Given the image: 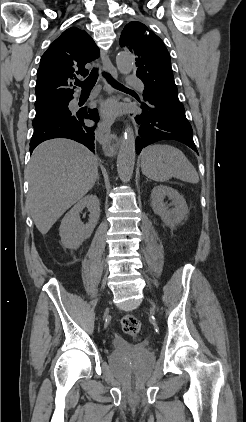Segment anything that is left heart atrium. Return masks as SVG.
<instances>
[{"mask_svg":"<svg viewBox=\"0 0 246 422\" xmlns=\"http://www.w3.org/2000/svg\"><path fill=\"white\" fill-rule=\"evenodd\" d=\"M117 109L116 106L112 103H107L104 105L103 107V112L107 115V116H112L116 113Z\"/></svg>","mask_w":246,"mask_h":422,"instance_id":"39dd6f15","label":"left heart atrium"}]
</instances>
